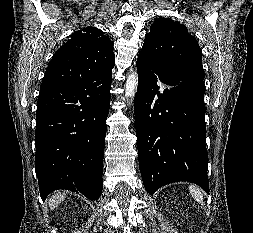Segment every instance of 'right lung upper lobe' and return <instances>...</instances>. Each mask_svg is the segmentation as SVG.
Listing matches in <instances>:
<instances>
[{
	"instance_id": "obj_1",
	"label": "right lung upper lobe",
	"mask_w": 253,
	"mask_h": 233,
	"mask_svg": "<svg viewBox=\"0 0 253 233\" xmlns=\"http://www.w3.org/2000/svg\"><path fill=\"white\" fill-rule=\"evenodd\" d=\"M113 44L103 31L86 27L74 32L50 61L40 88L49 84L105 74L114 67Z\"/></svg>"
}]
</instances>
